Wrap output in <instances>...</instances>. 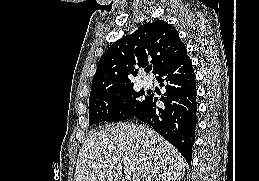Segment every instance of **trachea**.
Segmentation results:
<instances>
[{
	"label": "trachea",
	"instance_id": "1",
	"mask_svg": "<svg viewBox=\"0 0 259 181\" xmlns=\"http://www.w3.org/2000/svg\"><path fill=\"white\" fill-rule=\"evenodd\" d=\"M152 70V67H148V68H146V72H150Z\"/></svg>",
	"mask_w": 259,
	"mask_h": 181
}]
</instances>
